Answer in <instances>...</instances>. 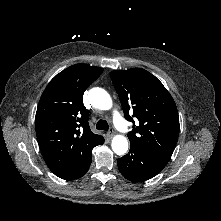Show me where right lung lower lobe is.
<instances>
[{
  "label": "right lung lower lobe",
  "instance_id": "right-lung-lower-lobe-1",
  "mask_svg": "<svg viewBox=\"0 0 221 221\" xmlns=\"http://www.w3.org/2000/svg\"><path fill=\"white\" fill-rule=\"evenodd\" d=\"M103 143H104V139L99 145ZM91 160H92V157H91V154H89L88 156L84 157L78 162L73 163L72 165H70L63 171L56 173L55 175L65 180L78 179L82 177L88 171L90 164H91Z\"/></svg>",
  "mask_w": 221,
  "mask_h": 221
}]
</instances>
